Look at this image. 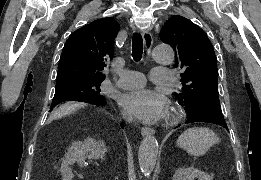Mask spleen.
<instances>
[{
    "instance_id": "1",
    "label": "spleen",
    "mask_w": 261,
    "mask_h": 180,
    "mask_svg": "<svg viewBox=\"0 0 261 180\" xmlns=\"http://www.w3.org/2000/svg\"><path fill=\"white\" fill-rule=\"evenodd\" d=\"M220 138L209 130V128H188L184 134H181L178 140V146L186 150L189 156H204L208 150L219 144Z\"/></svg>"
}]
</instances>
